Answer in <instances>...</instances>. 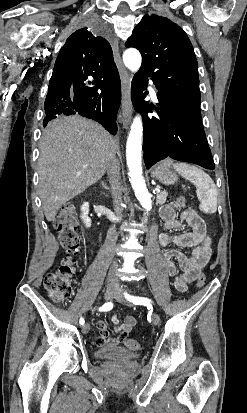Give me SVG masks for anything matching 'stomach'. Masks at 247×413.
Here are the masks:
<instances>
[{
    "mask_svg": "<svg viewBox=\"0 0 247 413\" xmlns=\"http://www.w3.org/2000/svg\"><path fill=\"white\" fill-rule=\"evenodd\" d=\"M151 176L157 178L160 182H164V184H174V182H177L178 180V174L173 170L169 162L158 164V166L152 170Z\"/></svg>",
    "mask_w": 247,
    "mask_h": 413,
    "instance_id": "obj_1",
    "label": "stomach"
}]
</instances>
